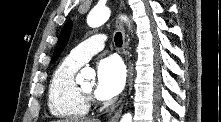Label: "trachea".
<instances>
[{"label": "trachea", "mask_w": 221, "mask_h": 122, "mask_svg": "<svg viewBox=\"0 0 221 122\" xmlns=\"http://www.w3.org/2000/svg\"><path fill=\"white\" fill-rule=\"evenodd\" d=\"M115 44H116L117 47L122 46V34L120 32H117L115 34Z\"/></svg>", "instance_id": "trachea-1"}]
</instances>
